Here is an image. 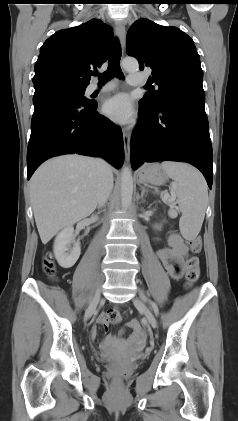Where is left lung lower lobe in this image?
<instances>
[{
    "label": "left lung lower lobe",
    "instance_id": "1",
    "mask_svg": "<svg viewBox=\"0 0 238 421\" xmlns=\"http://www.w3.org/2000/svg\"><path fill=\"white\" fill-rule=\"evenodd\" d=\"M205 92L190 88L164 98L155 110L139 109V124L131 137V166L159 160L187 162L213 179V152Z\"/></svg>",
    "mask_w": 238,
    "mask_h": 421
}]
</instances>
